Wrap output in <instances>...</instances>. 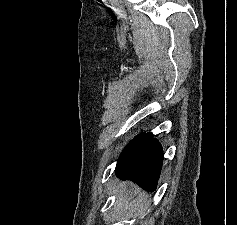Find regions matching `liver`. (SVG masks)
<instances>
[{"label": "liver", "mask_w": 237, "mask_h": 225, "mask_svg": "<svg viewBox=\"0 0 237 225\" xmlns=\"http://www.w3.org/2000/svg\"><path fill=\"white\" fill-rule=\"evenodd\" d=\"M128 193V189L126 190V194Z\"/></svg>", "instance_id": "liver-1"}]
</instances>
